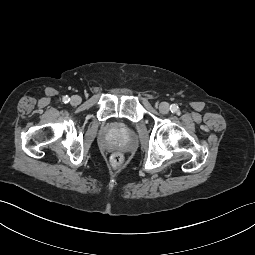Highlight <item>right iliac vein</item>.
Masks as SVG:
<instances>
[{
	"label": "right iliac vein",
	"mask_w": 255,
	"mask_h": 255,
	"mask_svg": "<svg viewBox=\"0 0 255 255\" xmlns=\"http://www.w3.org/2000/svg\"><path fill=\"white\" fill-rule=\"evenodd\" d=\"M70 102H71L72 105H78L81 102V98L78 95H74V96L71 97Z\"/></svg>",
	"instance_id": "obj_1"
}]
</instances>
